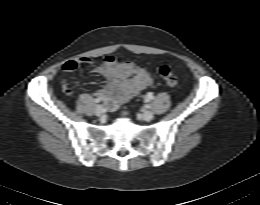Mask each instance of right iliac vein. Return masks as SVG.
<instances>
[{
  "instance_id": "obj_1",
  "label": "right iliac vein",
  "mask_w": 260,
  "mask_h": 205,
  "mask_svg": "<svg viewBox=\"0 0 260 205\" xmlns=\"http://www.w3.org/2000/svg\"><path fill=\"white\" fill-rule=\"evenodd\" d=\"M104 111H105V110H104L103 106H101V105H97V106L95 107V114H96L97 116L103 115Z\"/></svg>"
}]
</instances>
